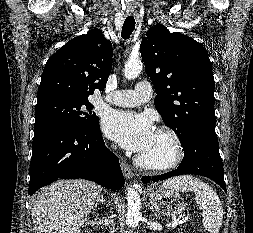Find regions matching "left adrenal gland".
<instances>
[{
  "mask_svg": "<svg viewBox=\"0 0 253 233\" xmlns=\"http://www.w3.org/2000/svg\"><path fill=\"white\" fill-rule=\"evenodd\" d=\"M150 211H151V213L153 212V207L150 208ZM155 216H157V215L155 214Z\"/></svg>",
  "mask_w": 253,
  "mask_h": 233,
  "instance_id": "a2214340",
  "label": "left adrenal gland"
}]
</instances>
